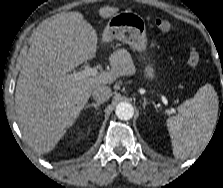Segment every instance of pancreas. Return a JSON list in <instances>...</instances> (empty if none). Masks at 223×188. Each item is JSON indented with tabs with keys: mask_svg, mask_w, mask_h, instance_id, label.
I'll return each instance as SVG.
<instances>
[{
	"mask_svg": "<svg viewBox=\"0 0 223 188\" xmlns=\"http://www.w3.org/2000/svg\"><path fill=\"white\" fill-rule=\"evenodd\" d=\"M114 57H121L125 60H128L130 61L131 58H130V54L125 50V49H119L117 50L114 54H113Z\"/></svg>",
	"mask_w": 223,
	"mask_h": 188,
	"instance_id": "cf45deb5",
	"label": "pancreas"
}]
</instances>
